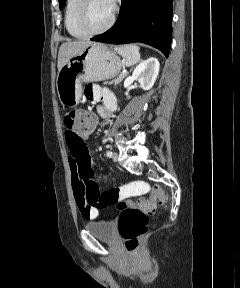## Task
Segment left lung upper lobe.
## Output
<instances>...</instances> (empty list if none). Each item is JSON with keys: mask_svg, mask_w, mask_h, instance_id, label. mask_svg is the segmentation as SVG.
I'll use <instances>...</instances> for the list:
<instances>
[{"mask_svg": "<svg viewBox=\"0 0 240 288\" xmlns=\"http://www.w3.org/2000/svg\"><path fill=\"white\" fill-rule=\"evenodd\" d=\"M66 0H59L60 8H62L65 4Z\"/></svg>", "mask_w": 240, "mask_h": 288, "instance_id": "1", "label": "left lung upper lobe"}]
</instances>
